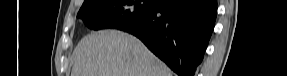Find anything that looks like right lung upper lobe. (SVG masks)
<instances>
[{
  "label": "right lung upper lobe",
  "mask_w": 287,
  "mask_h": 76,
  "mask_svg": "<svg viewBox=\"0 0 287 76\" xmlns=\"http://www.w3.org/2000/svg\"><path fill=\"white\" fill-rule=\"evenodd\" d=\"M87 1H89V0H84V3L87 2Z\"/></svg>",
  "instance_id": "cb5924a9"
}]
</instances>
